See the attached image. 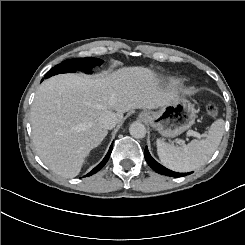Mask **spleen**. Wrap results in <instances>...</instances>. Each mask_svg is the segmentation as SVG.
Instances as JSON below:
<instances>
[{
  "label": "spleen",
  "mask_w": 245,
  "mask_h": 245,
  "mask_svg": "<svg viewBox=\"0 0 245 245\" xmlns=\"http://www.w3.org/2000/svg\"><path fill=\"white\" fill-rule=\"evenodd\" d=\"M224 126V120L218 119L212 123L205 139H194L182 147L157 139V152L161 162L176 172H189L201 167L220 145Z\"/></svg>",
  "instance_id": "1"
}]
</instances>
